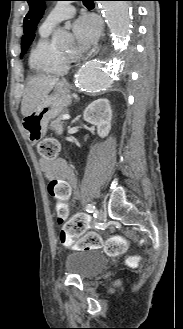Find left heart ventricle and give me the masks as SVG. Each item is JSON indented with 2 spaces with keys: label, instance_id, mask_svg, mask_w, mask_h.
I'll use <instances>...</instances> for the list:
<instances>
[{
  "label": "left heart ventricle",
  "instance_id": "1",
  "mask_svg": "<svg viewBox=\"0 0 183 329\" xmlns=\"http://www.w3.org/2000/svg\"><path fill=\"white\" fill-rule=\"evenodd\" d=\"M62 52L68 56H71L76 53V48L74 45H72V46L68 47L67 49L63 50Z\"/></svg>",
  "mask_w": 183,
  "mask_h": 329
}]
</instances>
